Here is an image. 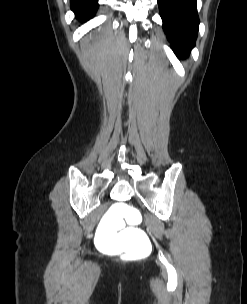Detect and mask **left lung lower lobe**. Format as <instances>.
<instances>
[{
  "label": "left lung lower lobe",
  "instance_id": "1",
  "mask_svg": "<svg viewBox=\"0 0 247 304\" xmlns=\"http://www.w3.org/2000/svg\"><path fill=\"white\" fill-rule=\"evenodd\" d=\"M163 29L177 57L185 58L198 33L197 0H157Z\"/></svg>",
  "mask_w": 247,
  "mask_h": 304
}]
</instances>
